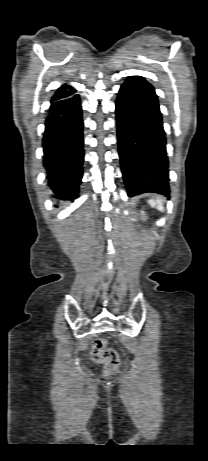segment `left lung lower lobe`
Segmentation results:
<instances>
[{"label": "left lung lower lobe", "instance_id": "1", "mask_svg": "<svg viewBox=\"0 0 208 461\" xmlns=\"http://www.w3.org/2000/svg\"><path fill=\"white\" fill-rule=\"evenodd\" d=\"M121 170L128 196L146 192L168 196L166 138L157 95L143 77L122 84L116 101Z\"/></svg>", "mask_w": 208, "mask_h": 461}]
</instances>
